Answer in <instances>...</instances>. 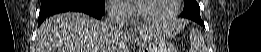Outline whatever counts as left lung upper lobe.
Segmentation results:
<instances>
[{
    "mask_svg": "<svg viewBox=\"0 0 261 52\" xmlns=\"http://www.w3.org/2000/svg\"><path fill=\"white\" fill-rule=\"evenodd\" d=\"M181 17L191 19L204 25L200 17V7L196 0H184V11L181 14Z\"/></svg>",
    "mask_w": 261,
    "mask_h": 52,
    "instance_id": "obj_1",
    "label": "left lung upper lobe"
}]
</instances>
